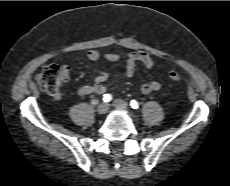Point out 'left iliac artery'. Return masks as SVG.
I'll return each mask as SVG.
<instances>
[{"instance_id": "left-iliac-artery-1", "label": "left iliac artery", "mask_w": 230, "mask_h": 186, "mask_svg": "<svg viewBox=\"0 0 230 186\" xmlns=\"http://www.w3.org/2000/svg\"><path fill=\"white\" fill-rule=\"evenodd\" d=\"M130 106H131L133 109H137V108L139 107V103H138L136 100H131Z\"/></svg>"}]
</instances>
